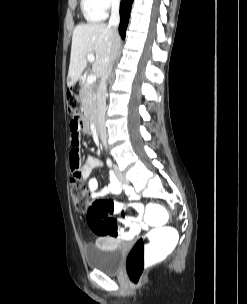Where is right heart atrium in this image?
Masks as SVG:
<instances>
[{
	"mask_svg": "<svg viewBox=\"0 0 247 304\" xmlns=\"http://www.w3.org/2000/svg\"><path fill=\"white\" fill-rule=\"evenodd\" d=\"M120 0H96L98 6L105 12L117 6Z\"/></svg>",
	"mask_w": 247,
	"mask_h": 304,
	"instance_id": "obj_1",
	"label": "right heart atrium"
}]
</instances>
